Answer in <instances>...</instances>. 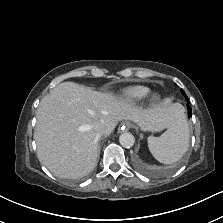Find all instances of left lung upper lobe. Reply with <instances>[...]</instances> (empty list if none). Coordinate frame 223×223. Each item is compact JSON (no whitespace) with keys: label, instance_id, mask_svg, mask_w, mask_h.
Returning a JSON list of instances; mask_svg holds the SVG:
<instances>
[{"label":"left lung upper lobe","instance_id":"5c2ea615","mask_svg":"<svg viewBox=\"0 0 223 223\" xmlns=\"http://www.w3.org/2000/svg\"><path fill=\"white\" fill-rule=\"evenodd\" d=\"M182 94L184 95L185 98H187L185 92L181 89Z\"/></svg>","mask_w":223,"mask_h":223}]
</instances>
